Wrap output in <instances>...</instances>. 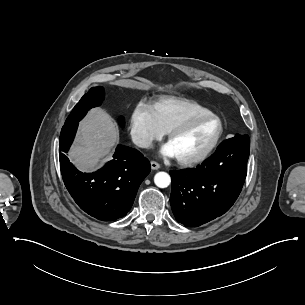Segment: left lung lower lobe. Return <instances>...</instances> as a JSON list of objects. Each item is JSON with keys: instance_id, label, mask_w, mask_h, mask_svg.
Returning <instances> with one entry per match:
<instances>
[{"instance_id": "left-lung-lower-lobe-1", "label": "left lung lower lobe", "mask_w": 305, "mask_h": 305, "mask_svg": "<svg viewBox=\"0 0 305 305\" xmlns=\"http://www.w3.org/2000/svg\"><path fill=\"white\" fill-rule=\"evenodd\" d=\"M249 154V136L239 135L223 141L196 168L171 171L170 204L176 220L197 227L227 212L242 190Z\"/></svg>"}]
</instances>
